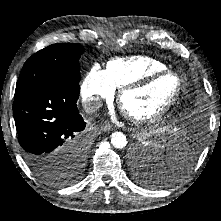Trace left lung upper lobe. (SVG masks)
<instances>
[{
    "mask_svg": "<svg viewBox=\"0 0 221 221\" xmlns=\"http://www.w3.org/2000/svg\"><path fill=\"white\" fill-rule=\"evenodd\" d=\"M142 166L143 165L137 166V169L135 170L136 178H137L138 182L146 185L145 181H146L147 175L149 174V171Z\"/></svg>",
    "mask_w": 221,
    "mask_h": 221,
    "instance_id": "5c2ea615",
    "label": "left lung upper lobe"
}]
</instances>
